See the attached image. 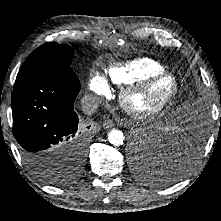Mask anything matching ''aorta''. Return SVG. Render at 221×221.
I'll use <instances>...</instances> for the list:
<instances>
[{
	"label": "aorta",
	"instance_id": "aorta-1",
	"mask_svg": "<svg viewBox=\"0 0 221 221\" xmlns=\"http://www.w3.org/2000/svg\"><path fill=\"white\" fill-rule=\"evenodd\" d=\"M124 134L122 131L113 129L108 134V141L114 146H120L124 142Z\"/></svg>",
	"mask_w": 221,
	"mask_h": 221
}]
</instances>
